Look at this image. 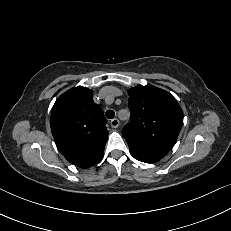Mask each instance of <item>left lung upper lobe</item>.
<instances>
[{"label":"left lung upper lobe","mask_w":231,"mask_h":231,"mask_svg":"<svg viewBox=\"0 0 231 231\" xmlns=\"http://www.w3.org/2000/svg\"><path fill=\"white\" fill-rule=\"evenodd\" d=\"M131 122L122 135L138 155L160 160L175 144L183 124V111L167 91L152 85L128 90Z\"/></svg>","instance_id":"1"}]
</instances>
